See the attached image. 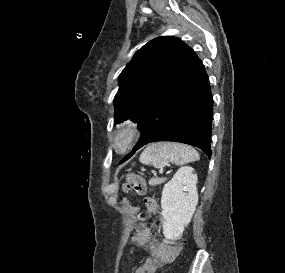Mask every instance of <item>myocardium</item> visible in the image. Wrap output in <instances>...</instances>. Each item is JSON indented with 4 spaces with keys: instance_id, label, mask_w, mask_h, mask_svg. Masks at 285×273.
I'll return each mask as SVG.
<instances>
[{
    "instance_id": "1",
    "label": "myocardium",
    "mask_w": 285,
    "mask_h": 273,
    "mask_svg": "<svg viewBox=\"0 0 285 273\" xmlns=\"http://www.w3.org/2000/svg\"><path fill=\"white\" fill-rule=\"evenodd\" d=\"M139 137L140 128L137 123L126 120L116 127L111 138L112 147L117 153L124 154L133 148Z\"/></svg>"
}]
</instances>
